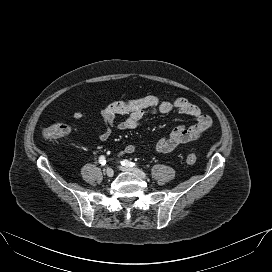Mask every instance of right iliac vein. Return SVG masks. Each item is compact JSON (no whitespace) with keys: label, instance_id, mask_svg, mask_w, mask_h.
Returning a JSON list of instances; mask_svg holds the SVG:
<instances>
[{"label":"right iliac vein","instance_id":"1","mask_svg":"<svg viewBox=\"0 0 272 272\" xmlns=\"http://www.w3.org/2000/svg\"><path fill=\"white\" fill-rule=\"evenodd\" d=\"M105 174H106L107 177L111 178V177H113V175H114V171H113L112 168L109 167V168H107V169L105 170Z\"/></svg>","mask_w":272,"mask_h":272}]
</instances>
